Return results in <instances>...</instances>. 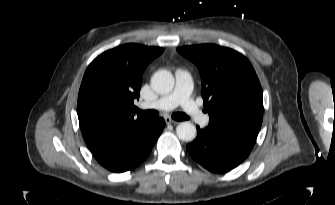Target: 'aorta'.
I'll return each mask as SVG.
<instances>
[{"mask_svg":"<svg viewBox=\"0 0 335 205\" xmlns=\"http://www.w3.org/2000/svg\"><path fill=\"white\" fill-rule=\"evenodd\" d=\"M151 86L158 94H168L174 87V77L167 70H158L151 78ZM176 134L182 141L195 139L197 130L190 122H182L176 127Z\"/></svg>","mask_w":335,"mask_h":205,"instance_id":"1","label":"aorta"}]
</instances>
